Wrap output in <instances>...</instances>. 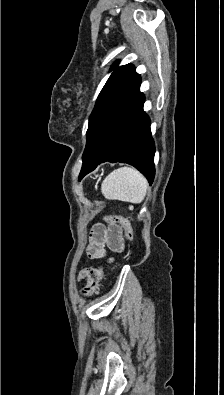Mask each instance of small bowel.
<instances>
[{
    "label": "small bowel",
    "mask_w": 224,
    "mask_h": 395,
    "mask_svg": "<svg viewBox=\"0 0 224 395\" xmlns=\"http://www.w3.org/2000/svg\"><path fill=\"white\" fill-rule=\"evenodd\" d=\"M108 245L113 250H120L123 248V239L120 232L114 229H107L101 225L96 224L91 232L90 243L87 247V255L91 260H97L105 255V246ZM80 279L85 277V271L80 273Z\"/></svg>",
    "instance_id": "1"
}]
</instances>
